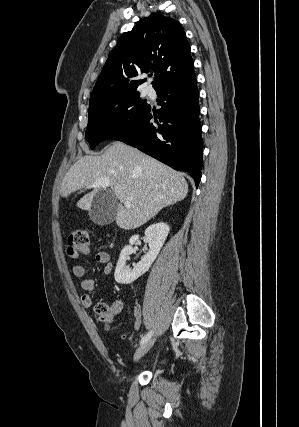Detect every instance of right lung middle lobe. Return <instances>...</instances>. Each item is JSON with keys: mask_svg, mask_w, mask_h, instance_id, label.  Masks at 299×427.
I'll list each match as a JSON object with an SVG mask.
<instances>
[{"mask_svg": "<svg viewBox=\"0 0 299 427\" xmlns=\"http://www.w3.org/2000/svg\"><path fill=\"white\" fill-rule=\"evenodd\" d=\"M149 105L138 91L108 97L89 104L86 140L93 149L103 140L116 137L133 127Z\"/></svg>", "mask_w": 299, "mask_h": 427, "instance_id": "1", "label": "right lung middle lobe"}]
</instances>
